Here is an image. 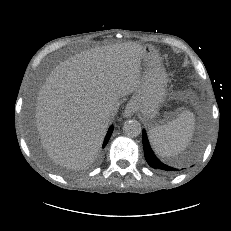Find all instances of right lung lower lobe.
I'll list each match as a JSON object with an SVG mask.
<instances>
[{"mask_svg":"<svg viewBox=\"0 0 231 231\" xmlns=\"http://www.w3.org/2000/svg\"><path fill=\"white\" fill-rule=\"evenodd\" d=\"M112 131H113V127L111 126V127L109 128V131H108L107 135H106V138H105L103 147H105V145H106L107 142L109 141Z\"/></svg>","mask_w":231,"mask_h":231,"instance_id":"98d812e1","label":"right lung lower lobe"}]
</instances>
